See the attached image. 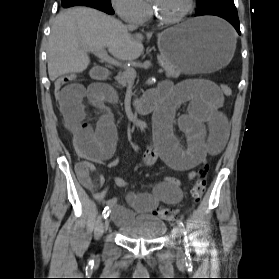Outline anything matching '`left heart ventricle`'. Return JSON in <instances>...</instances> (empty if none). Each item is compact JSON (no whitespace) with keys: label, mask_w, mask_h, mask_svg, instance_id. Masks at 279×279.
Returning <instances> with one entry per match:
<instances>
[{"label":"left heart ventricle","mask_w":279,"mask_h":279,"mask_svg":"<svg viewBox=\"0 0 279 279\" xmlns=\"http://www.w3.org/2000/svg\"><path fill=\"white\" fill-rule=\"evenodd\" d=\"M159 15L164 18H174L188 6V0H149Z\"/></svg>","instance_id":"left-heart-ventricle-1"}]
</instances>
